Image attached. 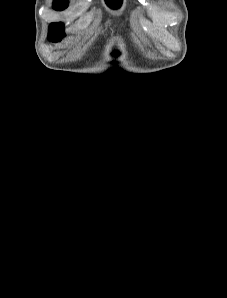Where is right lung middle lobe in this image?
Returning a JSON list of instances; mask_svg holds the SVG:
<instances>
[{
    "label": "right lung middle lobe",
    "instance_id": "right-lung-middle-lobe-1",
    "mask_svg": "<svg viewBox=\"0 0 227 298\" xmlns=\"http://www.w3.org/2000/svg\"><path fill=\"white\" fill-rule=\"evenodd\" d=\"M68 6V0H55L53 3V8L55 10H63ZM65 36L63 32V23H52L49 26L48 38L51 41L58 42Z\"/></svg>",
    "mask_w": 227,
    "mask_h": 298
}]
</instances>
